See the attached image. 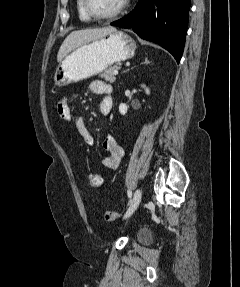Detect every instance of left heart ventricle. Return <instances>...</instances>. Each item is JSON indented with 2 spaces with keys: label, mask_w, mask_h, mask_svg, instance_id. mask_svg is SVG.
Wrapping results in <instances>:
<instances>
[{
  "label": "left heart ventricle",
  "mask_w": 240,
  "mask_h": 287,
  "mask_svg": "<svg viewBox=\"0 0 240 287\" xmlns=\"http://www.w3.org/2000/svg\"><path fill=\"white\" fill-rule=\"evenodd\" d=\"M92 6L99 14H108L115 10L122 0H91Z\"/></svg>",
  "instance_id": "obj_1"
}]
</instances>
